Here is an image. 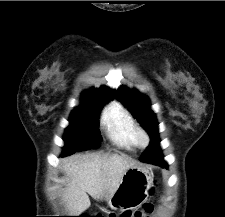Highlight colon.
<instances>
[{
  "label": "colon",
  "mask_w": 225,
  "mask_h": 217,
  "mask_svg": "<svg viewBox=\"0 0 225 217\" xmlns=\"http://www.w3.org/2000/svg\"><path fill=\"white\" fill-rule=\"evenodd\" d=\"M149 192H151V190ZM94 217H104V216L103 215H97V216H94ZM110 217H112V215H110Z\"/></svg>",
  "instance_id": "5ec220e1"
}]
</instances>
